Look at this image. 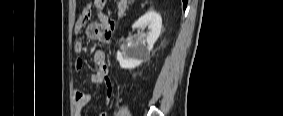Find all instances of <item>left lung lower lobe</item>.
Returning <instances> with one entry per match:
<instances>
[{
    "instance_id": "1",
    "label": "left lung lower lobe",
    "mask_w": 283,
    "mask_h": 116,
    "mask_svg": "<svg viewBox=\"0 0 283 116\" xmlns=\"http://www.w3.org/2000/svg\"><path fill=\"white\" fill-rule=\"evenodd\" d=\"M183 4H184V8H185L186 5H187V0H183Z\"/></svg>"
}]
</instances>
